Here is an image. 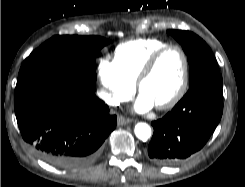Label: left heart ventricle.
<instances>
[{
	"instance_id": "b2bd125f",
	"label": "left heart ventricle",
	"mask_w": 245,
	"mask_h": 187,
	"mask_svg": "<svg viewBox=\"0 0 245 187\" xmlns=\"http://www.w3.org/2000/svg\"><path fill=\"white\" fill-rule=\"evenodd\" d=\"M183 73V62L178 51L166 52L141 87V93L154 105L168 100L178 89Z\"/></svg>"
}]
</instances>
